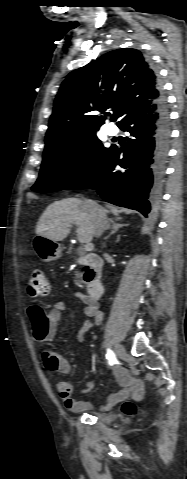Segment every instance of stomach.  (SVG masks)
<instances>
[{"instance_id": "stomach-1", "label": "stomach", "mask_w": 187, "mask_h": 479, "mask_svg": "<svg viewBox=\"0 0 187 479\" xmlns=\"http://www.w3.org/2000/svg\"><path fill=\"white\" fill-rule=\"evenodd\" d=\"M36 255L43 261H53L61 256L62 248L56 241L36 235L32 242Z\"/></svg>"}]
</instances>
